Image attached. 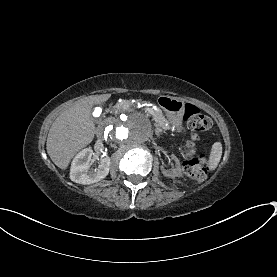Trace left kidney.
<instances>
[{"mask_svg":"<svg viewBox=\"0 0 277 277\" xmlns=\"http://www.w3.org/2000/svg\"><path fill=\"white\" fill-rule=\"evenodd\" d=\"M172 158L176 162V166L167 170L164 168V165H161V171L167 177H178L181 175L180 162L176 156L173 155Z\"/></svg>","mask_w":277,"mask_h":277,"instance_id":"1","label":"left kidney"}]
</instances>
